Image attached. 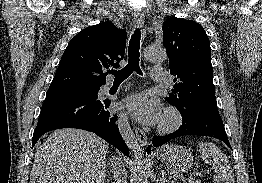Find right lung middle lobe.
Instances as JSON below:
<instances>
[{
	"label": "right lung middle lobe",
	"mask_w": 262,
	"mask_h": 183,
	"mask_svg": "<svg viewBox=\"0 0 262 183\" xmlns=\"http://www.w3.org/2000/svg\"><path fill=\"white\" fill-rule=\"evenodd\" d=\"M99 88H92V89H78V90H64V91H54V92H47V95L54 94V95H83V96H94Z\"/></svg>",
	"instance_id": "dd1d6c3e"
}]
</instances>
